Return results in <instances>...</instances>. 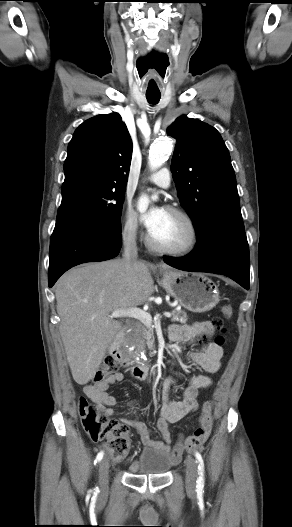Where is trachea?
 <instances>
[{
    "mask_svg": "<svg viewBox=\"0 0 292 527\" xmlns=\"http://www.w3.org/2000/svg\"><path fill=\"white\" fill-rule=\"evenodd\" d=\"M146 98L150 104H157L161 98L160 94H146Z\"/></svg>",
    "mask_w": 292,
    "mask_h": 527,
    "instance_id": "obj_1",
    "label": "trachea"
}]
</instances>
